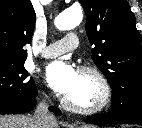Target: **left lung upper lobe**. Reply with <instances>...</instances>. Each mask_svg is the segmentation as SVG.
<instances>
[{
    "label": "left lung upper lobe",
    "instance_id": "obj_1",
    "mask_svg": "<svg viewBox=\"0 0 142 128\" xmlns=\"http://www.w3.org/2000/svg\"><path fill=\"white\" fill-rule=\"evenodd\" d=\"M92 59L112 88V112L142 106V46L126 0H79Z\"/></svg>",
    "mask_w": 142,
    "mask_h": 128
}]
</instances>
